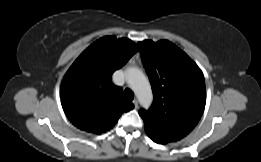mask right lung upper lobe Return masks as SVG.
Wrapping results in <instances>:
<instances>
[{"label": "right lung upper lobe", "instance_id": "cb5924a9", "mask_svg": "<svg viewBox=\"0 0 261 162\" xmlns=\"http://www.w3.org/2000/svg\"><path fill=\"white\" fill-rule=\"evenodd\" d=\"M137 51L129 39L106 36L76 59L61 84L62 107L73 125L101 134L134 108L123 99L121 88L112 83L111 76Z\"/></svg>", "mask_w": 261, "mask_h": 162}]
</instances>
